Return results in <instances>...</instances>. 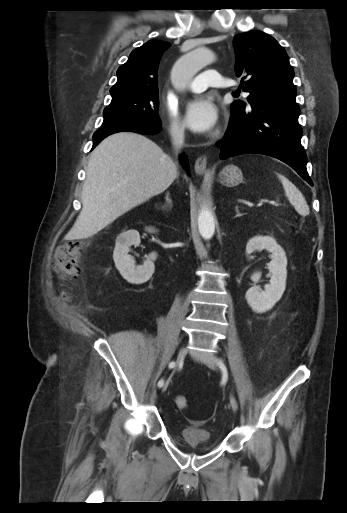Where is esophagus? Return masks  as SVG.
<instances>
[{"label":"esophagus","instance_id":"34e87169","mask_svg":"<svg viewBox=\"0 0 347 513\" xmlns=\"http://www.w3.org/2000/svg\"><path fill=\"white\" fill-rule=\"evenodd\" d=\"M195 172L199 175L207 174V157L205 155L199 156L194 165Z\"/></svg>","mask_w":347,"mask_h":513}]
</instances>
